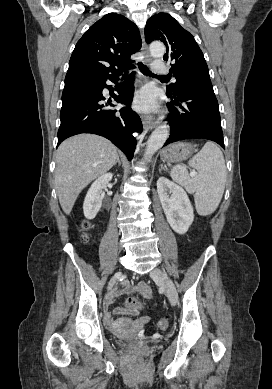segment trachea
<instances>
[{"mask_svg": "<svg viewBox=\"0 0 272 389\" xmlns=\"http://www.w3.org/2000/svg\"><path fill=\"white\" fill-rule=\"evenodd\" d=\"M139 65V69H140V71L144 74V75H147V76H152V77H161V78H165L166 76H157V75H155L154 73H152L149 69H148V67L146 66V65H144L143 63H139L138 64ZM128 74V71H126L125 73H124V75H127Z\"/></svg>", "mask_w": 272, "mask_h": 389, "instance_id": "trachea-1", "label": "trachea"}]
</instances>
